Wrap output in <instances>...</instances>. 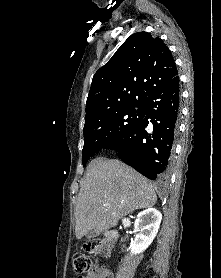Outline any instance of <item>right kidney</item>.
I'll use <instances>...</instances> for the list:
<instances>
[{"label":"right kidney","mask_w":221,"mask_h":278,"mask_svg":"<svg viewBox=\"0 0 221 278\" xmlns=\"http://www.w3.org/2000/svg\"><path fill=\"white\" fill-rule=\"evenodd\" d=\"M162 214L155 208H148L137 215L135 220V230L138 232L131 245V254L142 253L154 240L160 223Z\"/></svg>","instance_id":"right-kidney-1"}]
</instances>
